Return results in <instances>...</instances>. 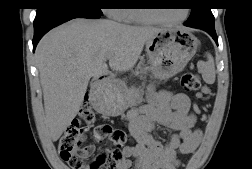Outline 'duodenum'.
I'll list each match as a JSON object with an SVG mask.
<instances>
[{
  "mask_svg": "<svg viewBox=\"0 0 252 169\" xmlns=\"http://www.w3.org/2000/svg\"><path fill=\"white\" fill-rule=\"evenodd\" d=\"M107 77H108L107 75H103V76L99 77V79L104 80V79H106Z\"/></svg>",
  "mask_w": 252,
  "mask_h": 169,
  "instance_id": "obj_1",
  "label": "duodenum"
}]
</instances>
